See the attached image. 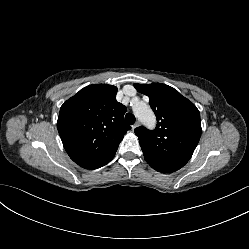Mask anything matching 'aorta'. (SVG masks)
I'll list each match as a JSON object with an SVG mask.
<instances>
[{
    "instance_id": "762f6f07",
    "label": "aorta",
    "mask_w": 249,
    "mask_h": 249,
    "mask_svg": "<svg viewBox=\"0 0 249 249\" xmlns=\"http://www.w3.org/2000/svg\"><path fill=\"white\" fill-rule=\"evenodd\" d=\"M134 113L142 123L148 126H153L155 124V115L147 104L139 102L134 107Z\"/></svg>"
}]
</instances>
